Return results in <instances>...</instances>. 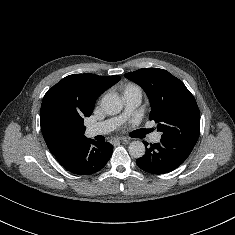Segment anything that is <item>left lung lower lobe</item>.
Masks as SVG:
<instances>
[{
    "mask_svg": "<svg viewBox=\"0 0 235 235\" xmlns=\"http://www.w3.org/2000/svg\"><path fill=\"white\" fill-rule=\"evenodd\" d=\"M145 145L148 143L144 142ZM194 145L184 141L161 139L159 143L146 147L143 157L136 160L144 171L163 174L173 171L189 156Z\"/></svg>",
    "mask_w": 235,
    "mask_h": 235,
    "instance_id": "obj_1",
    "label": "left lung lower lobe"
}]
</instances>
